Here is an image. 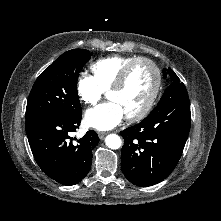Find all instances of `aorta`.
I'll return each instance as SVG.
<instances>
[{"instance_id":"obj_1","label":"aorta","mask_w":221,"mask_h":221,"mask_svg":"<svg viewBox=\"0 0 221 221\" xmlns=\"http://www.w3.org/2000/svg\"><path fill=\"white\" fill-rule=\"evenodd\" d=\"M105 144L110 149H119L122 145V141L117 134H109L105 138Z\"/></svg>"}]
</instances>
